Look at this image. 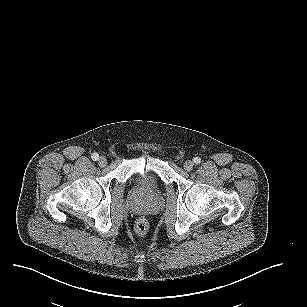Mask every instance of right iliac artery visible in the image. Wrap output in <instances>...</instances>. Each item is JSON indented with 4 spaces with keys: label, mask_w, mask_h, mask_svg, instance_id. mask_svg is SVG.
Here are the masks:
<instances>
[{
    "label": "right iliac artery",
    "mask_w": 307,
    "mask_h": 307,
    "mask_svg": "<svg viewBox=\"0 0 307 307\" xmlns=\"http://www.w3.org/2000/svg\"><path fill=\"white\" fill-rule=\"evenodd\" d=\"M92 159H93L94 161L99 160V155H98L97 153H94V154L92 155Z\"/></svg>",
    "instance_id": "right-iliac-artery-1"
}]
</instances>
